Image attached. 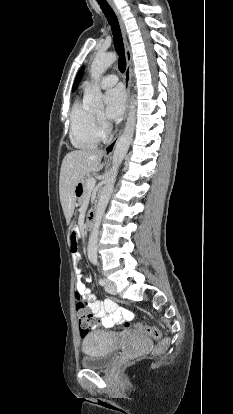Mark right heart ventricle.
<instances>
[{
  "mask_svg": "<svg viewBox=\"0 0 233 414\" xmlns=\"http://www.w3.org/2000/svg\"><path fill=\"white\" fill-rule=\"evenodd\" d=\"M69 135L72 145L78 149H92L102 140V132L95 116L77 99L70 111Z\"/></svg>",
  "mask_w": 233,
  "mask_h": 414,
  "instance_id": "1",
  "label": "right heart ventricle"
}]
</instances>
